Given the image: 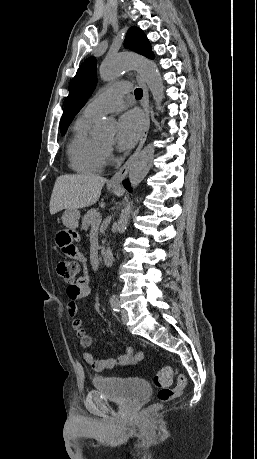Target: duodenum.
<instances>
[{
    "mask_svg": "<svg viewBox=\"0 0 257 459\" xmlns=\"http://www.w3.org/2000/svg\"><path fill=\"white\" fill-rule=\"evenodd\" d=\"M101 261L104 266H110L114 262V254L110 249H106L101 253Z\"/></svg>",
    "mask_w": 257,
    "mask_h": 459,
    "instance_id": "410a0bca",
    "label": "duodenum"
}]
</instances>
